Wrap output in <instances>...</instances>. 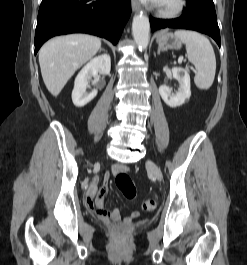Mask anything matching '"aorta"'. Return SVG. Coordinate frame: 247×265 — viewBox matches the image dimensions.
<instances>
[{"label":"aorta","mask_w":247,"mask_h":265,"mask_svg":"<svg viewBox=\"0 0 247 265\" xmlns=\"http://www.w3.org/2000/svg\"><path fill=\"white\" fill-rule=\"evenodd\" d=\"M149 19L142 12L135 15L132 22V35L139 49L144 50L149 43Z\"/></svg>","instance_id":"obj_1"}]
</instances>
